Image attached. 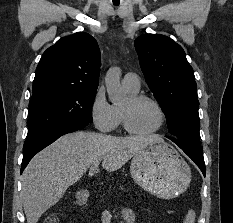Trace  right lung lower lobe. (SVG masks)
<instances>
[{
	"label": "right lung lower lobe",
	"instance_id": "obj_1",
	"mask_svg": "<svg viewBox=\"0 0 233 223\" xmlns=\"http://www.w3.org/2000/svg\"><path fill=\"white\" fill-rule=\"evenodd\" d=\"M87 125H84L82 123H70L62 126L60 129L55 131L54 133L47 136L45 139H43L40 143L29 149L24 153L23 161H22V167H21V173L23 172L24 168L27 166L29 161L32 159V157L37 154L40 150L45 148L46 146L53 143L55 140H57L60 136L74 132L77 130H80L84 128Z\"/></svg>",
	"mask_w": 233,
	"mask_h": 223
}]
</instances>
